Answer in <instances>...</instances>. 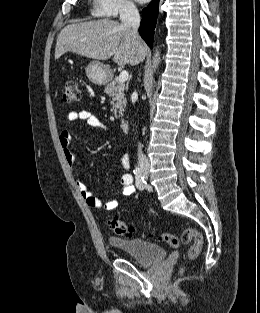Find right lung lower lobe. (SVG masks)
Listing matches in <instances>:
<instances>
[{
  "label": "right lung lower lobe",
  "instance_id": "obj_1",
  "mask_svg": "<svg viewBox=\"0 0 260 313\" xmlns=\"http://www.w3.org/2000/svg\"><path fill=\"white\" fill-rule=\"evenodd\" d=\"M159 0H152L147 8L142 10V21L139 33L145 42L152 48L154 29L158 15Z\"/></svg>",
  "mask_w": 260,
  "mask_h": 313
}]
</instances>
